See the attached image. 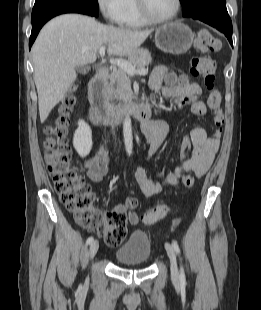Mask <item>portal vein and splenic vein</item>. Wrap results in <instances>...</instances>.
I'll use <instances>...</instances> for the list:
<instances>
[{
  "label": "portal vein and splenic vein",
  "instance_id": "1",
  "mask_svg": "<svg viewBox=\"0 0 261 310\" xmlns=\"http://www.w3.org/2000/svg\"><path fill=\"white\" fill-rule=\"evenodd\" d=\"M106 46L103 45L99 49V54L101 57L105 55ZM112 65H117L119 68L123 69L126 73L130 75H141L145 76L148 73V70L144 67L136 69L131 63L124 59H110Z\"/></svg>",
  "mask_w": 261,
  "mask_h": 310
}]
</instances>
